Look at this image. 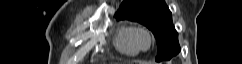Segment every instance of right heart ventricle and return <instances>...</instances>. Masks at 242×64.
Masks as SVG:
<instances>
[{
  "label": "right heart ventricle",
  "instance_id": "1",
  "mask_svg": "<svg viewBox=\"0 0 242 64\" xmlns=\"http://www.w3.org/2000/svg\"><path fill=\"white\" fill-rule=\"evenodd\" d=\"M134 27L130 25H122L117 28L114 36V46L122 54L135 56L138 50L132 41V31Z\"/></svg>",
  "mask_w": 242,
  "mask_h": 64
}]
</instances>
